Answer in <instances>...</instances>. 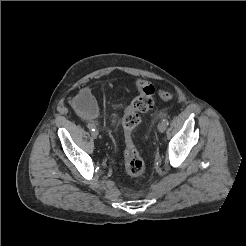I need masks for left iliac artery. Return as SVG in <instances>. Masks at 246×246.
Wrapping results in <instances>:
<instances>
[{"mask_svg": "<svg viewBox=\"0 0 246 246\" xmlns=\"http://www.w3.org/2000/svg\"><path fill=\"white\" fill-rule=\"evenodd\" d=\"M162 124H163L164 126H167V125L169 124V122H168L167 119H163V120H162Z\"/></svg>", "mask_w": 246, "mask_h": 246, "instance_id": "left-iliac-artery-1", "label": "left iliac artery"}]
</instances>
